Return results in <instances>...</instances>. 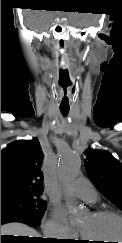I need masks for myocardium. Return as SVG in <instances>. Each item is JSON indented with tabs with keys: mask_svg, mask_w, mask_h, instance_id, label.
I'll use <instances>...</instances> for the list:
<instances>
[{
	"mask_svg": "<svg viewBox=\"0 0 122 243\" xmlns=\"http://www.w3.org/2000/svg\"><path fill=\"white\" fill-rule=\"evenodd\" d=\"M93 216L95 217H103V216H113L116 217L117 219H119L122 222V214L114 211V210H110V209H97L92 211L91 213ZM82 238H85L84 234L81 232L80 233ZM122 243V242H120Z\"/></svg>",
	"mask_w": 122,
	"mask_h": 243,
	"instance_id": "1",
	"label": "myocardium"
}]
</instances>
